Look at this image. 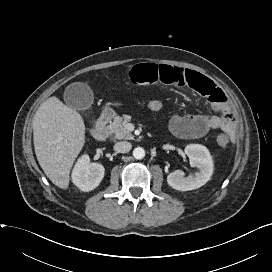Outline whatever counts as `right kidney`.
<instances>
[{
    "instance_id": "obj_1",
    "label": "right kidney",
    "mask_w": 272,
    "mask_h": 272,
    "mask_svg": "<svg viewBox=\"0 0 272 272\" xmlns=\"http://www.w3.org/2000/svg\"><path fill=\"white\" fill-rule=\"evenodd\" d=\"M104 176V167L99 163H90L88 155H83L72 172L73 183L82 191L95 189Z\"/></svg>"
}]
</instances>
